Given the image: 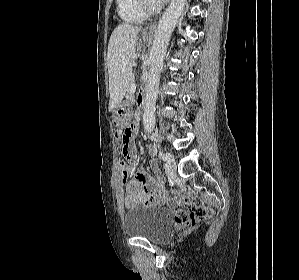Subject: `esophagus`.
Wrapping results in <instances>:
<instances>
[{
	"label": "esophagus",
	"mask_w": 299,
	"mask_h": 280,
	"mask_svg": "<svg viewBox=\"0 0 299 280\" xmlns=\"http://www.w3.org/2000/svg\"><path fill=\"white\" fill-rule=\"evenodd\" d=\"M155 27H156V22L153 23V24H151V25H149V26H147V27H145L144 30H143V32L144 33H148V34H152L154 32V30H155Z\"/></svg>",
	"instance_id": "obj_1"
}]
</instances>
